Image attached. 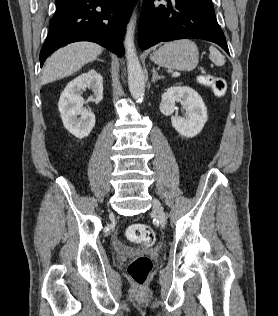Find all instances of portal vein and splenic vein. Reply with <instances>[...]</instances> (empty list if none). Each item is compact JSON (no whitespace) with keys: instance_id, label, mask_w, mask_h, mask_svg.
<instances>
[{"instance_id":"1","label":"portal vein and splenic vein","mask_w":278,"mask_h":316,"mask_svg":"<svg viewBox=\"0 0 278 316\" xmlns=\"http://www.w3.org/2000/svg\"><path fill=\"white\" fill-rule=\"evenodd\" d=\"M180 76V72H174L172 74V77L176 78V77H179Z\"/></svg>"}]
</instances>
